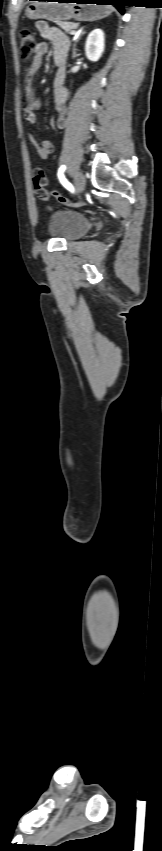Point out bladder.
Instances as JSON below:
<instances>
[{"label":"bladder","instance_id":"1","mask_svg":"<svg viewBox=\"0 0 162 851\" xmlns=\"http://www.w3.org/2000/svg\"><path fill=\"white\" fill-rule=\"evenodd\" d=\"M90 222L83 214L70 209H57L49 217L47 230L51 236L72 241L83 236Z\"/></svg>","mask_w":162,"mask_h":851}]
</instances>
